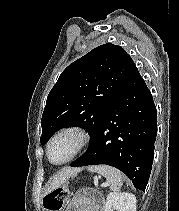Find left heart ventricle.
<instances>
[{"instance_id": "1", "label": "left heart ventricle", "mask_w": 179, "mask_h": 211, "mask_svg": "<svg viewBox=\"0 0 179 211\" xmlns=\"http://www.w3.org/2000/svg\"><path fill=\"white\" fill-rule=\"evenodd\" d=\"M76 139L72 135H64L56 139L50 147V159L55 162H61L70 156L74 150Z\"/></svg>"}]
</instances>
